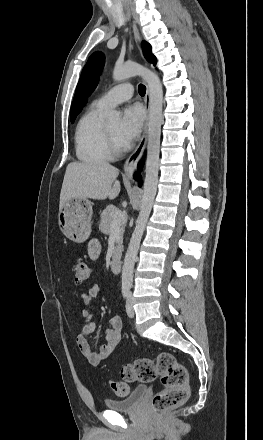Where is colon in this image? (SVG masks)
I'll return each instance as SVG.
<instances>
[{
	"mask_svg": "<svg viewBox=\"0 0 263 440\" xmlns=\"http://www.w3.org/2000/svg\"><path fill=\"white\" fill-rule=\"evenodd\" d=\"M68 269L77 285L84 284L90 277L89 266L82 262L70 263ZM121 376L130 382L149 383L159 375L164 388L156 393L150 402L154 414L163 412L182 405L188 398V371L186 367L177 362L174 355L162 351L152 358H139L125 364L120 370ZM110 388L119 396L129 393L126 383L110 381Z\"/></svg>",
	"mask_w": 263,
	"mask_h": 440,
	"instance_id": "5ec220e1",
	"label": "colon"
}]
</instances>
